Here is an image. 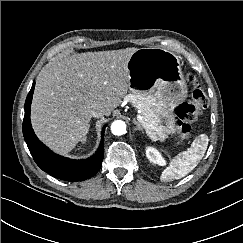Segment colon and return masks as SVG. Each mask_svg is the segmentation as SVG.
I'll use <instances>...</instances> for the list:
<instances>
[{"label": "colon", "mask_w": 243, "mask_h": 243, "mask_svg": "<svg viewBox=\"0 0 243 243\" xmlns=\"http://www.w3.org/2000/svg\"><path fill=\"white\" fill-rule=\"evenodd\" d=\"M188 81L192 86L191 100L180 104L171 117L172 125L184 137L190 135L191 123L208 106L207 95L197 78L194 75H189Z\"/></svg>", "instance_id": "5ec220e1"}]
</instances>
